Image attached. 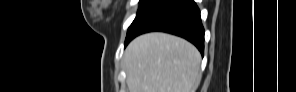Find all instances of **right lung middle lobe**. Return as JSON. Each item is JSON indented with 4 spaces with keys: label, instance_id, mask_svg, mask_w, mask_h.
<instances>
[{
    "label": "right lung middle lobe",
    "instance_id": "right-lung-middle-lobe-1",
    "mask_svg": "<svg viewBox=\"0 0 296 92\" xmlns=\"http://www.w3.org/2000/svg\"><path fill=\"white\" fill-rule=\"evenodd\" d=\"M155 0H140V7H139V10L137 12V16L136 18L134 19V21L132 22V24L130 25L129 29H128V32L130 30V28L133 26V24L136 22V20L143 14V12L149 8L151 6L152 3H154ZM127 32V33H128Z\"/></svg>",
    "mask_w": 296,
    "mask_h": 92
}]
</instances>
